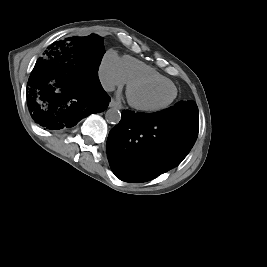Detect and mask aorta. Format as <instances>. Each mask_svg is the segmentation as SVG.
Segmentation results:
<instances>
[{"label":"aorta","mask_w":267,"mask_h":267,"mask_svg":"<svg viewBox=\"0 0 267 267\" xmlns=\"http://www.w3.org/2000/svg\"><path fill=\"white\" fill-rule=\"evenodd\" d=\"M105 118L108 123L117 124L121 120V112L117 108H110L106 111Z\"/></svg>","instance_id":"aorta-1"}]
</instances>
